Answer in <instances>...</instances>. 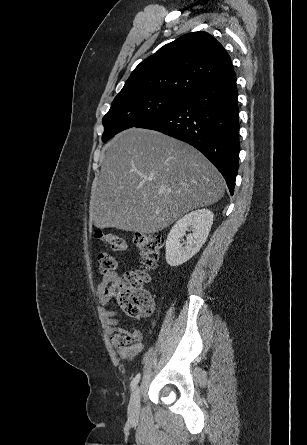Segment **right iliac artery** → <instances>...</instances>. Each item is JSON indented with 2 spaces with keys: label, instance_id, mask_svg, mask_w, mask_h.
Returning a JSON list of instances; mask_svg holds the SVG:
<instances>
[{
  "label": "right iliac artery",
  "instance_id": "82829eb1",
  "mask_svg": "<svg viewBox=\"0 0 307 445\" xmlns=\"http://www.w3.org/2000/svg\"><path fill=\"white\" fill-rule=\"evenodd\" d=\"M140 380V373H138L131 382V389H134Z\"/></svg>",
  "mask_w": 307,
  "mask_h": 445
}]
</instances>
